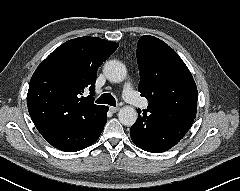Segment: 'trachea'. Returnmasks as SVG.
<instances>
[{
  "label": "trachea",
  "instance_id": "1",
  "mask_svg": "<svg viewBox=\"0 0 240 191\" xmlns=\"http://www.w3.org/2000/svg\"><path fill=\"white\" fill-rule=\"evenodd\" d=\"M99 104H108L111 106H116V100L110 93L102 94L96 101Z\"/></svg>",
  "mask_w": 240,
  "mask_h": 191
}]
</instances>
